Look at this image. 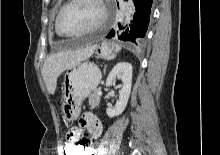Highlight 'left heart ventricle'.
I'll return each mask as SVG.
<instances>
[{"label":"left heart ventricle","instance_id":"left-heart-ventricle-1","mask_svg":"<svg viewBox=\"0 0 220 155\" xmlns=\"http://www.w3.org/2000/svg\"><path fill=\"white\" fill-rule=\"evenodd\" d=\"M102 16L95 0H77L68 6L60 18V27L65 32H76L92 27Z\"/></svg>","mask_w":220,"mask_h":155}]
</instances>
